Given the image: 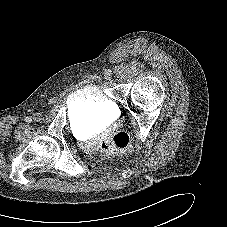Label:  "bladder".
I'll return each instance as SVG.
<instances>
[{"label":"bladder","mask_w":227,"mask_h":227,"mask_svg":"<svg viewBox=\"0 0 227 227\" xmlns=\"http://www.w3.org/2000/svg\"><path fill=\"white\" fill-rule=\"evenodd\" d=\"M68 109L72 123L78 129L88 123H110L120 114L117 103L96 84L76 90L69 97Z\"/></svg>","instance_id":"bladder-1"}]
</instances>
